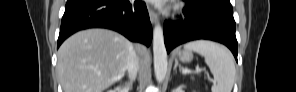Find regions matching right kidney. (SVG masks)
Masks as SVG:
<instances>
[{"label":"right kidney","mask_w":296,"mask_h":92,"mask_svg":"<svg viewBox=\"0 0 296 92\" xmlns=\"http://www.w3.org/2000/svg\"><path fill=\"white\" fill-rule=\"evenodd\" d=\"M121 91V87H117L114 90H109L108 92H120Z\"/></svg>","instance_id":"obj_1"}]
</instances>
